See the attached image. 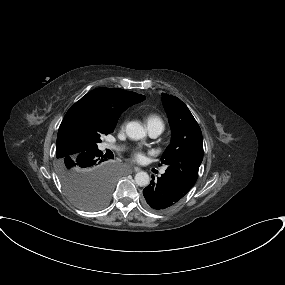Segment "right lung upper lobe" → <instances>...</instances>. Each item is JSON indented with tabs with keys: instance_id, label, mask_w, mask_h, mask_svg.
Returning <instances> with one entry per match:
<instances>
[{
	"instance_id": "cb5924a9",
	"label": "right lung upper lobe",
	"mask_w": 285,
	"mask_h": 285,
	"mask_svg": "<svg viewBox=\"0 0 285 285\" xmlns=\"http://www.w3.org/2000/svg\"><path fill=\"white\" fill-rule=\"evenodd\" d=\"M144 99L141 94L122 89L92 90L67 111L58 131L56 151L80 131L115 128L120 115Z\"/></svg>"
}]
</instances>
